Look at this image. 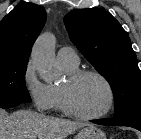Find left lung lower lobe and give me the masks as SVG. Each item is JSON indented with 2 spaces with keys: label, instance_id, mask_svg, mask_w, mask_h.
Returning a JSON list of instances; mask_svg holds the SVG:
<instances>
[{
  "label": "left lung lower lobe",
  "instance_id": "obj_1",
  "mask_svg": "<svg viewBox=\"0 0 141 139\" xmlns=\"http://www.w3.org/2000/svg\"><path fill=\"white\" fill-rule=\"evenodd\" d=\"M92 122L109 126H128L141 131V112L108 120H93Z\"/></svg>",
  "mask_w": 141,
  "mask_h": 139
}]
</instances>
